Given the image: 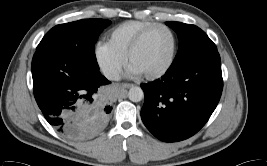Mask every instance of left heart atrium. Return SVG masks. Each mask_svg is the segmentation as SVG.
<instances>
[{"mask_svg":"<svg viewBox=\"0 0 267 166\" xmlns=\"http://www.w3.org/2000/svg\"><path fill=\"white\" fill-rule=\"evenodd\" d=\"M132 71H133L134 73H138V71H137L136 69H132Z\"/></svg>","mask_w":267,"mask_h":166,"instance_id":"39dd6f15","label":"left heart atrium"}]
</instances>
